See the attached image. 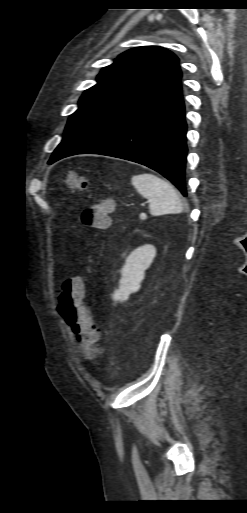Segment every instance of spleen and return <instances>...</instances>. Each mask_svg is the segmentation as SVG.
<instances>
[{
  "label": "spleen",
  "mask_w": 247,
  "mask_h": 513,
  "mask_svg": "<svg viewBox=\"0 0 247 513\" xmlns=\"http://www.w3.org/2000/svg\"><path fill=\"white\" fill-rule=\"evenodd\" d=\"M131 184L149 201L152 216L183 212L184 205L173 186L158 176L151 173L136 174L132 176Z\"/></svg>",
  "instance_id": "3e777b00"
}]
</instances>
